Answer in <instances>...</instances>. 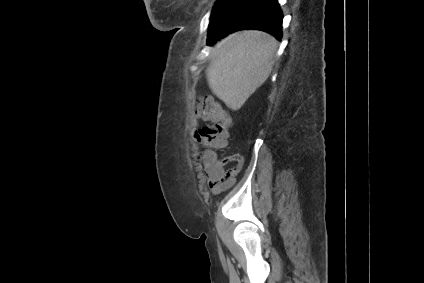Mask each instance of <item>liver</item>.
<instances>
[{"mask_svg":"<svg viewBox=\"0 0 424 283\" xmlns=\"http://www.w3.org/2000/svg\"><path fill=\"white\" fill-rule=\"evenodd\" d=\"M277 48L274 37L259 30L232 33L216 44L207 68L210 89L238 110L269 77Z\"/></svg>","mask_w":424,"mask_h":283,"instance_id":"6515ba94","label":"liver"}]
</instances>
